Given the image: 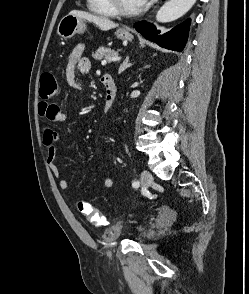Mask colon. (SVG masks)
Listing matches in <instances>:
<instances>
[{
    "mask_svg": "<svg viewBox=\"0 0 249 294\" xmlns=\"http://www.w3.org/2000/svg\"><path fill=\"white\" fill-rule=\"evenodd\" d=\"M58 93V82L53 72L47 71L41 75L39 96L43 100H49ZM78 210L95 227H101L105 223V217L91 204L80 201Z\"/></svg>",
    "mask_w": 249,
    "mask_h": 294,
    "instance_id": "5ec220e1",
    "label": "colon"
}]
</instances>
